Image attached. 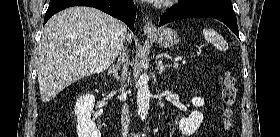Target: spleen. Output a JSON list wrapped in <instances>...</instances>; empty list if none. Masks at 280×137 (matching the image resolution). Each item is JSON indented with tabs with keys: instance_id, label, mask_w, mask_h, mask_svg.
<instances>
[{
	"instance_id": "spleen-1",
	"label": "spleen",
	"mask_w": 280,
	"mask_h": 137,
	"mask_svg": "<svg viewBox=\"0 0 280 137\" xmlns=\"http://www.w3.org/2000/svg\"><path fill=\"white\" fill-rule=\"evenodd\" d=\"M203 36L205 40L209 41L213 44V46L218 51H226L228 49V44L225 39L216 32L214 29L211 28H204L203 29Z\"/></svg>"
}]
</instances>
